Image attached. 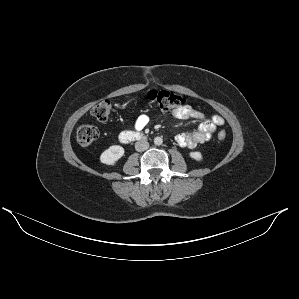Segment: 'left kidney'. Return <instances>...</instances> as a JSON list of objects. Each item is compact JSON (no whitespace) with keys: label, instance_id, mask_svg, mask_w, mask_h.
<instances>
[{"label":"left kidney","instance_id":"1","mask_svg":"<svg viewBox=\"0 0 299 299\" xmlns=\"http://www.w3.org/2000/svg\"><path fill=\"white\" fill-rule=\"evenodd\" d=\"M189 156L196 161H202L203 159V156L200 152H190Z\"/></svg>","mask_w":299,"mask_h":299}]
</instances>
